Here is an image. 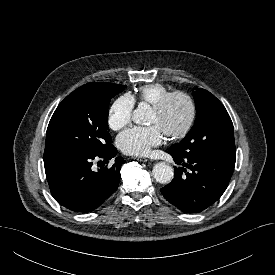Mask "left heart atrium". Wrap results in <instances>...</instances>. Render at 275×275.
I'll return each mask as SVG.
<instances>
[{"label":"left heart atrium","mask_w":275,"mask_h":275,"mask_svg":"<svg viewBox=\"0 0 275 275\" xmlns=\"http://www.w3.org/2000/svg\"><path fill=\"white\" fill-rule=\"evenodd\" d=\"M163 139V131L154 124L148 127H133L122 132L117 139L120 149L130 155H145L150 148Z\"/></svg>","instance_id":"39dd6f15"}]
</instances>
